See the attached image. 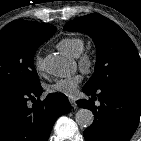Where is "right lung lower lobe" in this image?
Listing matches in <instances>:
<instances>
[{
	"label": "right lung lower lobe",
	"mask_w": 141,
	"mask_h": 141,
	"mask_svg": "<svg viewBox=\"0 0 141 141\" xmlns=\"http://www.w3.org/2000/svg\"><path fill=\"white\" fill-rule=\"evenodd\" d=\"M39 85L29 89L0 88V141H47L56 119L70 111L67 97L49 94L31 107L29 100L42 94Z\"/></svg>",
	"instance_id": "1"
}]
</instances>
